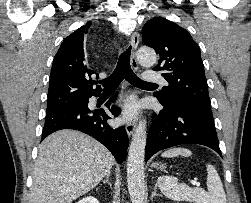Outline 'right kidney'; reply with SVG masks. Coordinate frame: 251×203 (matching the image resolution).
Instances as JSON below:
<instances>
[{
	"label": "right kidney",
	"mask_w": 251,
	"mask_h": 203,
	"mask_svg": "<svg viewBox=\"0 0 251 203\" xmlns=\"http://www.w3.org/2000/svg\"><path fill=\"white\" fill-rule=\"evenodd\" d=\"M76 203H99V201L94 198L93 196H87L85 198H83L82 200H79Z\"/></svg>",
	"instance_id": "1"
}]
</instances>
